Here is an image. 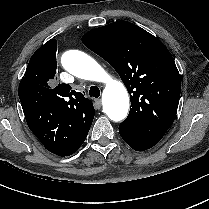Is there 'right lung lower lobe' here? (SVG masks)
Instances as JSON below:
<instances>
[{"instance_id": "right-lung-lower-lobe-1", "label": "right lung lower lobe", "mask_w": 209, "mask_h": 209, "mask_svg": "<svg viewBox=\"0 0 209 209\" xmlns=\"http://www.w3.org/2000/svg\"><path fill=\"white\" fill-rule=\"evenodd\" d=\"M23 112L30 130L48 151L62 157L69 156L83 144L69 147L61 141V135L58 134L59 130H55V127L49 125L51 113L48 105L23 107Z\"/></svg>"}]
</instances>
